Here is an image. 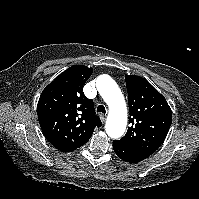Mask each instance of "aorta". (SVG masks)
<instances>
[{
	"label": "aorta",
	"instance_id": "762f6f07",
	"mask_svg": "<svg viewBox=\"0 0 199 199\" xmlns=\"http://www.w3.org/2000/svg\"><path fill=\"white\" fill-rule=\"evenodd\" d=\"M97 89L109 107L105 125L106 133L113 139L120 138L127 125V108L121 90L108 75H101L96 80Z\"/></svg>",
	"mask_w": 199,
	"mask_h": 199
}]
</instances>
